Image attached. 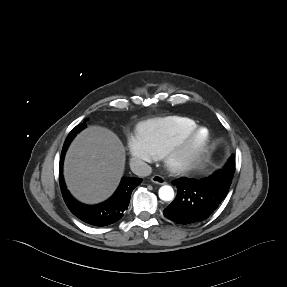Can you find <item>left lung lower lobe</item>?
<instances>
[{"label":"left lung lower lobe","mask_w":287,"mask_h":287,"mask_svg":"<svg viewBox=\"0 0 287 287\" xmlns=\"http://www.w3.org/2000/svg\"><path fill=\"white\" fill-rule=\"evenodd\" d=\"M232 178L233 173L223 168L201 180L183 177L173 181L178 193L164 209V216L184 225L206 219L227 195Z\"/></svg>","instance_id":"left-lung-lower-lobe-1"}]
</instances>
